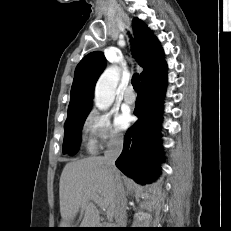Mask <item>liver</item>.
<instances>
[{
  "instance_id": "obj_1",
  "label": "liver",
  "mask_w": 231,
  "mask_h": 231,
  "mask_svg": "<svg viewBox=\"0 0 231 231\" xmlns=\"http://www.w3.org/2000/svg\"><path fill=\"white\" fill-rule=\"evenodd\" d=\"M116 175L120 180L118 170ZM92 195L100 198L103 208L107 210V216L112 218L115 208V183L103 157L92 156L67 163L59 183L62 228L73 226V219L79 211L84 213L80 228H95L101 225L99 211L89 199Z\"/></svg>"
}]
</instances>
